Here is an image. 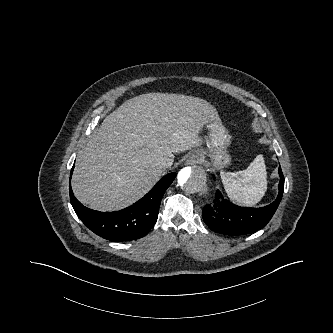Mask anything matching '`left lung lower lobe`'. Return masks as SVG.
Wrapping results in <instances>:
<instances>
[{"label": "left lung lower lobe", "mask_w": 333, "mask_h": 333, "mask_svg": "<svg viewBox=\"0 0 333 333\" xmlns=\"http://www.w3.org/2000/svg\"><path fill=\"white\" fill-rule=\"evenodd\" d=\"M279 194L274 202L261 208L240 207L224 200L217 191L212 205L202 211L204 222L215 232L226 235H245L267 225L274 215L283 195L284 176L279 167Z\"/></svg>", "instance_id": "obj_1"}]
</instances>
